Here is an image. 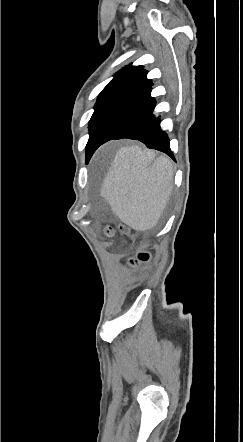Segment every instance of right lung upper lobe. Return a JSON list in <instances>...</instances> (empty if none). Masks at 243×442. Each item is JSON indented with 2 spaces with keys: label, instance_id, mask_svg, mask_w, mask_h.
I'll return each instance as SVG.
<instances>
[{
  "label": "right lung upper lobe",
  "instance_id": "1",
  "mask_svg": "<svg viewBox=\"0 0 243 442\" xmlns=\"http://www.w3.org/2000/svg\"><path fill=\"white\" fill-rule=\"evenodd\" d=\"M147 70L142 66L128 65L116 73L114 78L99 94V97L120 96L126 97L134 91L151 84L146 78Z\"/></svg>",
  "mask_w": 243,
  "mask_h": 442
}]
</instances>
